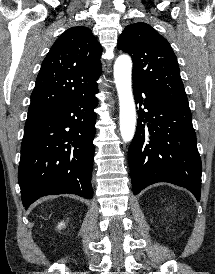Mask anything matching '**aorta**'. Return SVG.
I'll return each mask as SVG.
<instances>
[{"mask_svg":"<svg viewBox=\"0 0 215 274\" xmlns=\"http://www.w3.org/2000/svg\"><path fill=\"white\" fill-rule=\"evenodd\" d=\"M132 61L128 55L119 56L114 64V80L119 97L120 132L123 141L132 140L136 126V109L131 87Z\"/></svg>","mask_w":215,"mask_h":274,"instance_id":"aorta-1","label":"aorta"}]
</instances>
